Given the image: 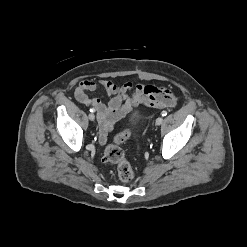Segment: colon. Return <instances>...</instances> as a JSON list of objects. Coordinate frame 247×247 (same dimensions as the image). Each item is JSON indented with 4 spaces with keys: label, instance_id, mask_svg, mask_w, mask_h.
<instances>
[{
    "label": "colon",
    "instance_id": "obj_1",
    "mask_svg": "<svg viewBox=\"0 0 247 247\" xmlns=\"http://www.w3.org/2000/svg\"><path fill=\"white\" fill-rule=\"evenodd\" d=\"M129 137V130L126 129L121 131L115 136L114 141L106 147L104 152V160L118 165L119 178L125 183L132 181L134 178L133 169L126 160L124 151L121 147Z\"/></svg>",
    "mask_w": 247,
    "mask_h": 247
}]
</instances>
